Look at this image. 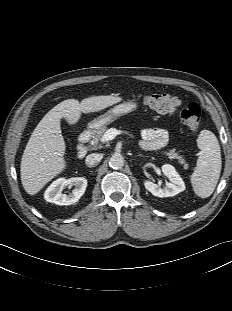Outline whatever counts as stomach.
Listing matches in <instances>:
<instances>
[{"label": "stomach", "instance_id": "1", "mask_svg": "<svg viewBox=\"0 0 232 311\" xmlns=\"http://www.w3.org/2000/svg\"><path fill=\"white\" fill-rule=\"evenodd\" d=\"M136 107L137 104L132 101L123 102L119 105H116L105 114L100 115L97 118H94L92 121L88 123L87 128L92 132H97L102 127L116 120L118 117L132 112L133 110L136 109Z\"/></svg>", "mask_w": 232, "mask_h": 311}]
</instances>
